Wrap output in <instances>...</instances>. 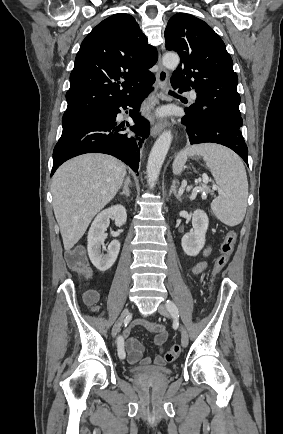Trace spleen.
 Returning a JSON list of instances; mask_svg holds the SVG:
<instances>
[{
  "label": "spleen",
  "mask_w": 283,
  "mask_h": 434,
  "mask_svg": "<svg viewBox=\"0 0 283 434\" xmlns=\"http://www.w3.org/2000/svg\"><path fill=\"white\" fill-rule=\"evenodd\" d=\"M188 156H202L219 186V196L211 204L215 216L228 226L241 223L248 198V181L242 160L233 151L220 145H195L175 158L174 174L182 172Z\"/></svg>",
  "instance_id": "obj_1"
}]
</instances>
